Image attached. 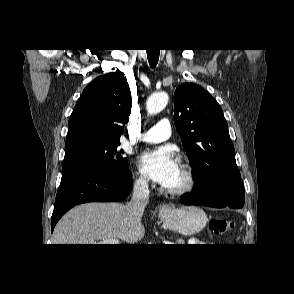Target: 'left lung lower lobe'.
<instances>
[{
	"mask_svg": "<svg viewBox=\"0 0 294 294\" xmlns=\"http://www.w3.org/2000/svg\"><path fill=\"white\" fill-rule=\"evenodd\" d=\"M180 201L185 205H203L215 208H242L245 201L244 184L241 178L219 179L207 192L193 191L184 194Z\"/></svg>",
	"mask_w": 294,
	"mask_h": 294,
	"instance_id": "left-lung-lower-lobe-1",
	"label": "left lung lower lobe"
}]
</instances>
